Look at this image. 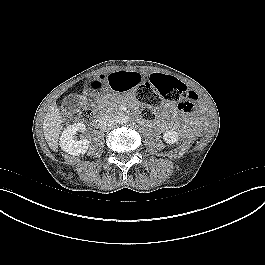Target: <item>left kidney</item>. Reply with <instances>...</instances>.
<instances>
[{
	"label": "left kidney",
	"instance_id": "5707ae66",
	"mask_svg": "<svg viewBox=\"0 0 265 265\" xmlns=\"http://www.w3.org/2000/svg\"><path fill=\"white\" fill-rule=\"evenodd\" d=\"M163 139L166 143L173 144L178 141V134L175 131H166L163 135Z\"/></svg>",
	"mask_w": 265,
	"mask_h": 265
}]
</instances>
